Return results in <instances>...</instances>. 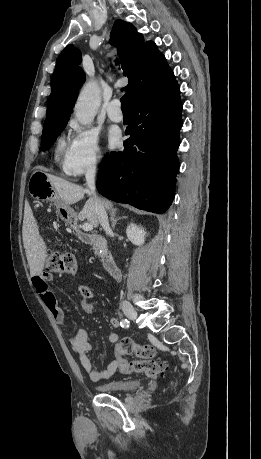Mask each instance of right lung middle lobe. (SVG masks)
Returning a JSON list of instances; mask_svg holds the SVG:
<instances>
[{"instance_id":"right-lung-middle-lobe-1","label":"right lung middle lobe","mask_w":261,"mask_h":459,"mask_svg":"<svg viewBox=\"0 0 261 459\" xmlns=\"http://www.w3.org/2000/svg\"><path fill=\"white\" fill-rule=\"evenodd\" d=\"M66 124L67 123L43 127L41 138L43 151L48 149L53 144V142L57 139L58 135L65 128Z\"/></svg>"}]
</instances>
